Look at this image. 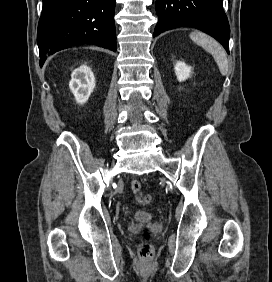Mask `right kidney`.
<instances>
[{"label":"right kidney","mask_w":272,"mask_h":282,"mask_svg":"<svg viewBox=\"0 0 272 282\" xmlns=\"http://www.w3.org/2000/svg\"><path fill=\"white\" fill-rule=\"evenodd\" d=\"M69 87L77 103H86L95 88V77L90 67L82 65L75 69L71 74Z\"/></svg>","instance_id":"right-kidney-1"}]
</instances>
